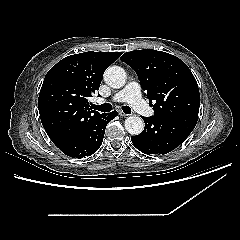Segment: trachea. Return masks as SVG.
<instances>
[{"label": "trachea", "mask_w": 240, "mask_h": 240, "mask_svg": "<svg viewBox=\"0 0 240 240\" xmlns=\"http://www.w3.org/2000/svg\"><path fill=\"white\" fill-rule=\"evenodd\" d=\"M92 108L95 109V110L101 111V112H109L112 109V105L109 104V103H105V104H102V105L92 104ZM122 110L126 114H131V112H132L131 108L128 107V106H123Z\"/></svg>", "instance_id": "trachea-1"}]
</instances>
